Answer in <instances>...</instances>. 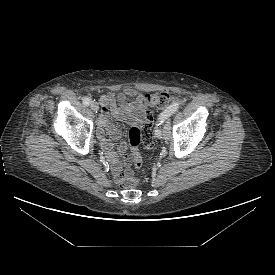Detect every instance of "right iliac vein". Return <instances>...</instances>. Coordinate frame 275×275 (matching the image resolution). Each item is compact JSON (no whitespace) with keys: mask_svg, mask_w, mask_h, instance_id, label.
Here are the masks:
<instances>
[{"mask_svg":"<svg viewBox=\"0 0 275 275\" xmlns=\"http://www.w3.org/2000/svg\"><path fill=\"white\" fill-rule=\"evenodd\" d=\"M91 109L95 112H97L99 110V106L97 102H92L90 105Z\"/></svg>","mask_w":275,"mask_h":275,"instance_id":"right-iliac-vein-1","label":"right iliac vein"}]
</instances>
